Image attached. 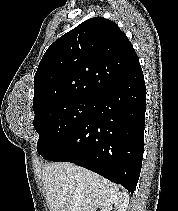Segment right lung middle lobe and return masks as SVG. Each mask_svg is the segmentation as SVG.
<instances>
[{"instance_id": "1", "label": "right lung middle lobe", "mask_w": 178, "mask_h": 211, "mask_svg": "<svg viewBox=\"0 0 178 211\" xmlns=\"http://www.w3.org/2000/svg\"><path fill=\"white\" fill-rule=\"evenodd\" d=\"M94 100L75 98L58 101L35 113L33 124L39 134L37 151L42 157L84 122L91 113Z\"/></svg>"}]
</instances>
